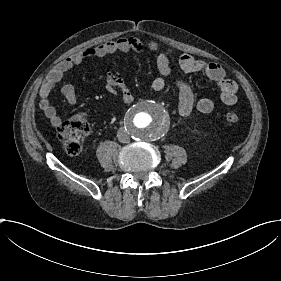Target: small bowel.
Wrapping results in <instances>:
<instances>
[{"label":"small bowel","instance_id":"1","mask_svg":"<svg viewBox=\"0 0 281 281\" xmlns=\"http://www.w3.org/2000/svg\"><path fill=\"white\" fill-rule=\"evenodd\" d=\"M159 44L155 40L143 41L137 37L127 36L115 40L104 42L100 45L83 48L65 61L61 62L43 83L40 90L39 106L50 124L55 128L64 125L56 109L53 107L50 96L56 85L64 78L65 74L73 69L74 66L85 62L90 58L102 57L115 52H129L149 50L156 51ZM174 57L171 51H163L159 54L156 68L158 76L152 81L151 86L155 91H162L166 86V80L173 78L178 92L179 111L182 116L187 117L191 114L193 107L201 112H210L214 109V101L209 97H202L194 102L193 91L188 82L177 78L174 75L171 66V60ZM179 69L185 72H205L220 87V98L224 104L233 106L237 102L238 84L226 77L225 71L221 66L214 62H206L194 58L189 54L180 56L177 60ZM106 90L112 96L120 95L122 101L130 103L133 101V94L128 89L125 82L116 73L107 68L105 70ZM62 93L68 104L74 106L77 104L76 88L73 84H65L62 87Z\"/></svg>","mask_w":281,"mask_h":281}]
</instances>
